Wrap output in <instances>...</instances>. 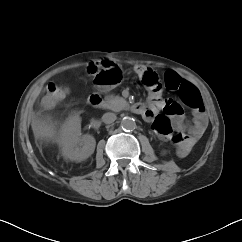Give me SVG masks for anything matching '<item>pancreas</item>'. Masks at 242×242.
I'll use <instances>...</instances> for the list:
<instances>
[{
	"label": "pancreas",
	"mask_w": 242,
	"mask_h": 242,
	"mask_svg": "<svg viewBox=\"0 0 242 242\" xmlns=\"http://www.w3.org/2000/svg\"><path fill=\"white\" fill-rule=\"evenodd\" d=\"M106 108L115 112H119L127 107V102L124 98L115 95L105 97Z\"/></svg>",
	"instance_id": "1"
}]
</instances>
